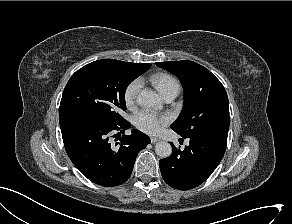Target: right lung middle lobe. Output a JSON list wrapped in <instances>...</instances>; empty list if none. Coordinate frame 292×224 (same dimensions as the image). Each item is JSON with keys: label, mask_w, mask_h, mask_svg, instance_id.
Masks as SVG:
<instances>
[{"label": "right lung middle lobe", "mask_w": 292, "mask_h": 224, "mask_svg": "<svg viewBox=\"0 0 292 224\" xmlns=\"http://www.w3.org/2000/svg\"><path fill=\"white\" fill-rule=\"evenodd\" d=\"M141 73L131 63L103 59L77 70L69 79L60 102L59 115L80 113L106 126H115L126 120L127 86Z\"/></svg>", "instance_id": "dd1d6c3e"}]
</instances>
